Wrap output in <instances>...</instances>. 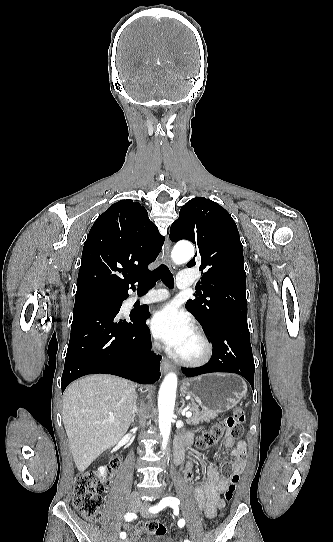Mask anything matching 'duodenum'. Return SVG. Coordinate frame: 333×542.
<instances>
[{
  "label": "duodenum",
  "instance_id": "obj_1",
  "mask_svg": "<svg viewBox=\"0 0 333 542\" xmlns=\"http://www.w3.org/2000/svg\"><path fill=\"white\" fill-rule=\"evenodd\" d=\"M193 434L186 433L177 436L175 440V461L177 464H181L184 456L185 445L193 442Z\"/></svg>",
  "mask_w": 333,
  "mask_h": 542
}]
</instances>
